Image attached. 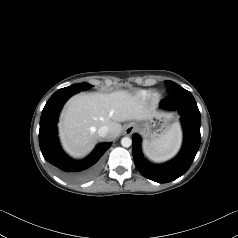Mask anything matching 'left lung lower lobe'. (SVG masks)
Here are the masks:
<instances>
[{"label": "left lung lower lobe", "instance_id": "obj_1", "mask_svg": "<svg viewBox=\"0 0 238 238\" xmlns=\"http://www.w3.org/2000/svg\"><path fill=\"white\" fill-rule=\"evenodd\" d=\"M160 108L178 110L184 130L183 147L176 158L162 165H154L144 159L139 135H132V154L138 171L146 178L167 183L182 176L191 166L200 146V112L192 94L184 88L169 94Z\"/></svg>", "mask_w": 238, "mask_h": 238}]
</instances>
